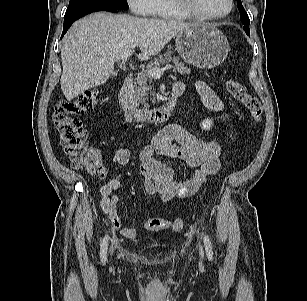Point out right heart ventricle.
Returning a JSON list of instances; mask_svg holds the SVG:
<instances>
[{"label":"right heart ventricle","mask_w":307,"mask_h":301,"mask_svg":"<svg viewBox=\"0 0 307 301\" xmlns=\"http://www.w3.org/2000/svg\"><path fill=\"white\" fill-rule=\"evenodd\" d=\"M158 19H188L189 16L179 11L171 0H157V10L153 15Z\"/></svg>","instance_id":"e07e8e85"}]
</instances>
